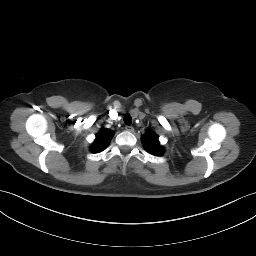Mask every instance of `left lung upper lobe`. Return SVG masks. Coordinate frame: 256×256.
Segmentation results:
<instances>
[{
	"instance_id": "obj_1",
	"label": "left lung upper lobe",
	"mask_w": 256,
	"mask_h": 256,
	"mask_svg": "<svg viewBox=\"0 0 256 256\" xmlns=\"http://www.w3.org/2000/svg\"><path fill=\"white\" fill-rule=\"evenodd\" d=\"M143 145L153 155H161L163 148L159 145L158 136L153 132H146L142 137Z\"/></svg>"
}]
</instances>
